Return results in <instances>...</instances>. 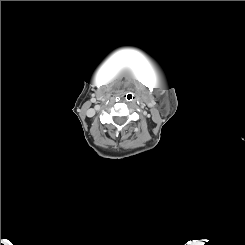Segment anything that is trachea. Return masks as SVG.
Instances as JSON below:
<instances>
[{"label": "trachea", "instance_id": "trachea-1", "mask_svg": "<svg viewBox=\"0 0 245 245\" xmlns=\"http://www.w3.org/2000/svg\"><path fill=\"white\" fill-rule=\"evenodd\" d=\"M126 99H127L128 101H131L132 99H134L133 94H132V93H128L127 96H126Z\"/></svg>", "mask_w": 245, "mask_h": 245}]
</instances>
